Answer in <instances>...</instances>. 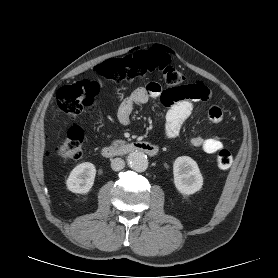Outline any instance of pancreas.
<instances>
[{
  "label": "pancreas",
  "mask_w": 278,
  "mask_h": 278,
  "mask_svg": "<svg viewBox=\"0 0 278 278\" xmlns=\"http://www.w3.org/2000/svg\"><path fill=\"white\" fill-rule=\"evenodd\" d=\"M125 144V141L124 140H114L113 142H112V145L114 146V147H118L119 145H124Z\"/></svg>",
  "instance_id": "obj_1"
}]
</instances>
